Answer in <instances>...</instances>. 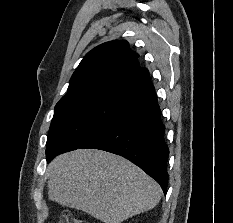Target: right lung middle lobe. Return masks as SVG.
<instances>
[{
	"label": "right lung middle lobe",
	"instance_id": "right-lung-middle-lobe-1",
	"mask_svg": "<svg viewBox=\"0 0 233 223\" xmlns=\"http://www.w3.org/2000/svg\"><path fill=\"white\" fill-rule=\"evenodd\" d=\"M122 91L102 90L63 96L55 106L46 152L79 148L122 110Z\"/></svg>",
	"mask_w": 233,
	"mask_h": 223
}]
</instances>
